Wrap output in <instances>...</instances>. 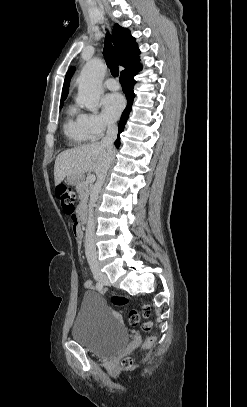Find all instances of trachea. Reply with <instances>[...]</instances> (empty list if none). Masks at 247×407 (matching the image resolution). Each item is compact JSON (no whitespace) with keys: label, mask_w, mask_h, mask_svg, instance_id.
Segmentation results:
<instances>
[{"label":"trachea","mask_w":247,"mask_h":407,"mask_svg":"<svg viewBox=\"0 0 247 407\" xmlns=\"http://www.w3.org/2000/svg\"><path fill=\"white\" fill-rule=\"evenodd\" d=\"M104 58L110 69L112 76L118 77L119 68H118V63L116 60V51H115L114 47L112 46L109 32H107V34H106V39H105V44H104Z\"/></svg>","instance_id":"1"}]
</instances>
